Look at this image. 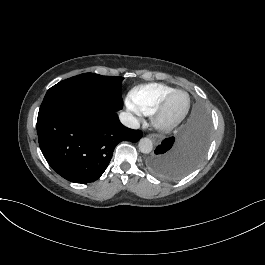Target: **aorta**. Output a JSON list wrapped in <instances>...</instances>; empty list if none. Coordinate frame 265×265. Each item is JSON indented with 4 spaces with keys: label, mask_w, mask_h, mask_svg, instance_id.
Masks as SVG:
<instances>
[{
    "label": "aorta",
    "mask_w": 265,
    "mask_h": 265,
    "mask_svg": "<svg viewBox=\"0 0 265 265\" xmlns=\"http://www.w3.org/2000/svg\"><path fill=\"white\" fill-rule=\"evenodd\" d=\"M138 147H139L140 152H142L144 154H148L153 149V143H152L151 139H149V138H142L139 141Z\"/></svg>",
    "instance_id": "obj_1"
}]
</instances>
